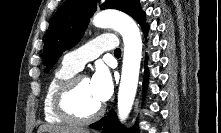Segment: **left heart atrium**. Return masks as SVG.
<instances>
[{"instance_id": "left-heart-atrium-1", "label": "left heart atrium", "mask_w": 221, "mask_h": 133, "mask_svg": "<svg viewBox=\"0 0 221 133\" xmlns=\"http://www.w3.org/2000/svg\"><path fill=\"white\" fill-rule=\"evenodd\" d=\"M91 81L92 91L101 103L107 101L113 93V81L110 71L104 65L96 68Z\"/></svg>"}]
</instances>
